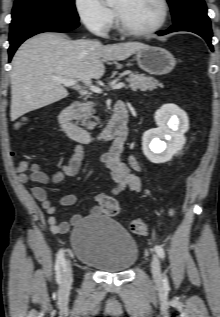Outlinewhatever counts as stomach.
<instances>
[{"label": "stomach", "instance_id": "obj_1", "mask_svg": "<svg viewBox=\"0 0 220 317\" xmlns=\"http://www.w3.org/2000/svg\"><path fill=\"white\" fill-rule=\"evenodd\" d=\"M136 61L145 72L153 75H164L172 71L176 61L166 49L146 46L136 52Z\"/></svg>", "mask_w": 220, "mask_h": 317}]
</instances>
